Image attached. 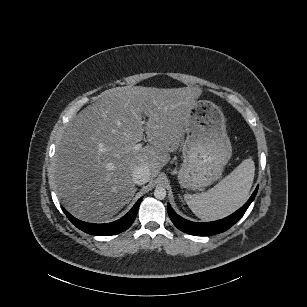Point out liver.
<instances>
[{
  "label": "liver",
  "instance_id": "1",
  "mask_svg": "<svg viewBox=\"0 0 307 307\" xmlns=\"http://www.w3.org/2000/svg\"><path fill=\"white\" fill-rule=\"evenodd\" d=\"M201 93L197 87H115L83 109L67 126L53 161L56 194L66 209L83 221L101 222L128 204L134 169L145 164L151 179L157 177L178 149ZM144 132L150 145L134 150Z\"/></svg>",
  "mask_w": 307,
  "mask_h": 307
}]
</instances>
